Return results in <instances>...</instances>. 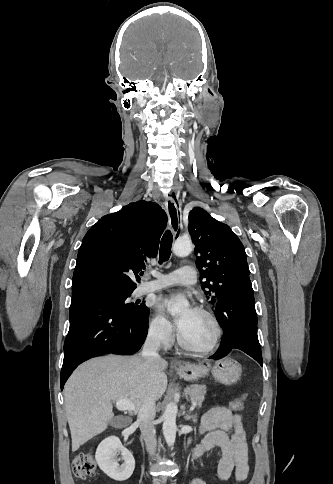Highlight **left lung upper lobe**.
<instances>
[{
	"mask_svg": "<svg viewBox=\"0 0 333 484\" xmlns=\"http://www.w3.org/2000/svg\"><path fill=\"white\" fill-rule=\"evenodd\" d=\"M189 232L199 254L202 289L216 306L229 284L249 277L244 246L228 225L199 207L189 212Z\"/></svg>",
	"mask_w": 333,
	"mask_h": 484,
	"instance_id": "5c2ea615",
	"label": "left lung upper lobe"
}]
</instances>
